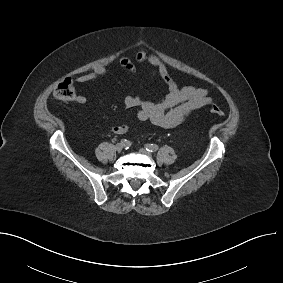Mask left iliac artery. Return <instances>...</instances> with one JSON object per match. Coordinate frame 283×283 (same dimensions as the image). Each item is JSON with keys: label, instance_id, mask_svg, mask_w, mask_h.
I'll use <instances>...</instances> for the list:
<instances>
[{"label": "left iliac artery", "instance_id": "1", "mask_svg": "<svg viewBox=\"0 0 283 283\" xmlns=\"http://www.w3.org/2000/svg\"><path fill=\"white\" fill-rule=\"evenodd\" d=\"M145 147L146 150L150 152H156L159 149V147L156 144H146Z\"/></svg>", "mask_w": 283, "mask_h": 283}]
</instances>
